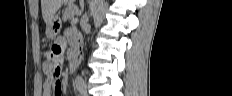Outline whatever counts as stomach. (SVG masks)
Returning a JSON list of instances; mask_svg holds the SVG:
<instances>
[{
  "label": "stomach",
  "mask_w": 232,
  "mask_h": 96,
  "mask_svg": "<svg viewBox=\"0 0 232 96\" xmlns=\"http://www.w3.org/2000/svg\"><path fill=\"white\" fill-rule=\"evenodd\" d=\"M61 20L59 17L54 16L52 21L47 25V36L49 38H54L60 31Z\"/></svg>",
  "instance_id": "obj_1"
}]
</instances>
